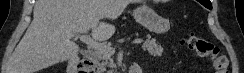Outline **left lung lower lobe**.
<instances>
[{"instance_id": "left-lung-lower-lobe-1", "label": "left lung lower lobe", "mask_w": 244, "mask_h": 73, "mask_svg": "<svg viewBox=\"0 0 244 73\" xmlns=\"http://www.w3.org/2000/svg\"><path fill=\"white\" fill-rule=\"evenodd\" d=\"M202 5H204L208 9H212V5L210 0H198Z\"/></svg>"}]
</instances>
